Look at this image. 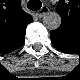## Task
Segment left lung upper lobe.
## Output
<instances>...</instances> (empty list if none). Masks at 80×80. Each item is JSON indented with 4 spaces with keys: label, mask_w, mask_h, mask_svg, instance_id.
Wrapping results in <instances>:
<instances>
[{
    "label": "left lung upper lobe",
    "mask_w": 80,
    "mask_h": 80,
    "mask_svg": "<svg viewBox=\"0 0 80 80\" xmlns=\"http://www.w3.org/2000/svg\"><path fill=\"white\" fill-rule=\"evenodd\" d=\"M66 18L63 17V23L61 24V26L55 30L54 34L56 36H60V37H63V36H66L67 35V32H66V28L68 27V29L70 28V24H68V26L65 25L66 23Z\"/></svg>",
    "instance_id": "1"
}]
</instances>
